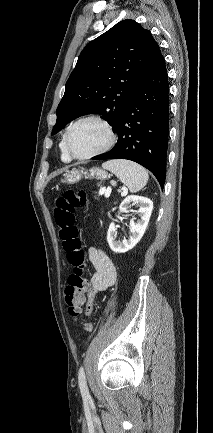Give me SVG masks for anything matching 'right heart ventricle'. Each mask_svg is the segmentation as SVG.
<instances>
[{
	"label": "right heart ventricle",
	"mask_w": 213,
	"mask_h": 433,
	"mask_svg": "<svg viewBox=\"0 0 213 433\" xmlns=\"http://www.w3.org/2000/svg\"><path fill=\"white\" fill-rule=\"evenodd\" d=\"M64 138H65V134L62 136L61 141L59 143L60 157L62 161L69 162L71 161V157L68 155L66 151Z\"/></svg>",
	"instance_id": "obj_1"
}]
</instances>
